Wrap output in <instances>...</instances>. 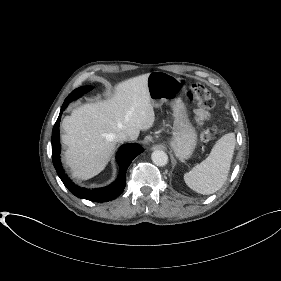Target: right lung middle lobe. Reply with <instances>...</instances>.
<instances>
[{"mask_svg":"<svg viewBox=\"0 0 281 281\" xmlns=\"http://www.w3.org/2000/svg\"><path fill=\"white\" fill-rule=\"evenodd\" d=\"M91 89H92V86L80 87V88L75 89L74 91H72L66 99L74 100V99L80 97L82 94L90 91Z\"/></svg>","mask_w":281,"mask_h":281,"instance_id":"obj_1","label":"right lung middle lobe"}]
</instances>
